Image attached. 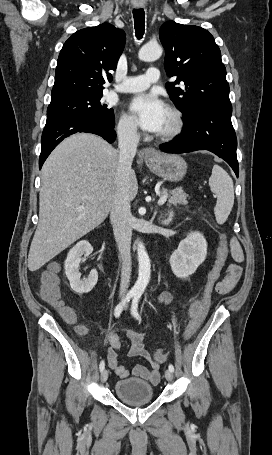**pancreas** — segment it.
Here are the masks:
<instances>
[{"label": "pancreas", "mask_w": 272, "mask_h": 455, "mask_svg": "<svg viewBox=\"0 0 272 455\" xmlns=\"http://www.w3.org/2000/svg\"><path fill=\"white\" fill-rule=\"evenodd\" d=\"M162 193L163 195H167L170 205H186L188 203V195L181 188H176L172 191L164 190Z\"/></svg>", "instance_id": "pancreas-1"}]
</instances>
